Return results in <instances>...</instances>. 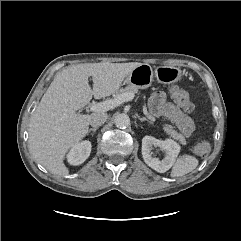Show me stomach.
<instances>
[{"label": "stomach", "mask_w": 241, "mask_h": 241, "mask_svg": "<svg viewBox=\"0 0 241 241\" xmlns=\"http://www.w3.org/2000/svg\"><path fill=\"white\" fill-rule=\"evenodd\" d=\"M183 76L184 72L179 67L164 65L153 70L151 65L143 63L133 69L125 78L124 83L145 89L152 84L154 77L159 83L172 84L180 81Z\"/></svg>", "instance_id": "0dacf381"}]
</instances>
